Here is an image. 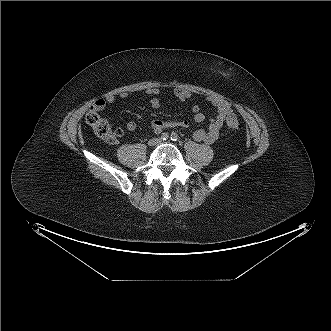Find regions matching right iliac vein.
<instances>
[{
  "mask_svg": "<svg viewBox=\"0 0 331 331\" xmlns=\"http://www.w3.org/2000/svg\"><path fill=\"white\" fill-rule=\"evenodd\" d=\"M158 143V140L157 139H152V140H150L149 142H148V145L149 146H154V145H156Z\"/></svg>",
  "mask_w": 331,
  "mask_h": 331,
  "instance_id": "1",
  "label": "right iliac vein"
}]
</instances>
